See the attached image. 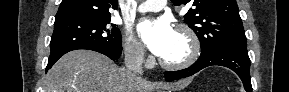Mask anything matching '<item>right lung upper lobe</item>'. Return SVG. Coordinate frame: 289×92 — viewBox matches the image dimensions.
<instances>
[{
  "instance_id": "1",
  "label": "right lung upper lobe",
  "mask_w": 289,
  "mask_h": 92,
  "mask_svg": "<svg viewBox=\"0 0 289 92\" xmlns=\"http://www.w3.org/2000/svg\"><path fill=\"white\" fill-rule=\"evenodd\" d=\"M118 0H62L55 21L77 18H110L109 8L117 9Z\"/></svg>"
}]
</instances>
